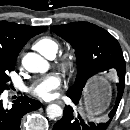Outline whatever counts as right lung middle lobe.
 <instances>
[{"instance_id": "right-lung-middle-lobe-1", "label": "right lung middle lobe", "mask_w": 130, "mask_h": 130, "mask_svg": "<svg viewBox=\"0 0 130 130\" xmlns=\"http://www.w3.org/2000/svg\"><path fill=\"white\" fill-rule=\"evenodd\" d=\"M16 58L0 51V91L8 88L7 82L10 80L8 73L15 68Z\"/></svg>"}]
</instances>
